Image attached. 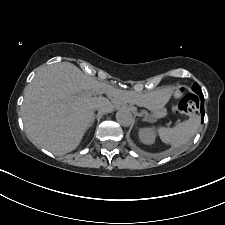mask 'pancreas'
<instances>
[{"label": "pancreas", "mask_w": 225, "mask_h": 225, "mask_svg": "<svg viewBox=\"0 0 225 225\" xmlns=\"http://www.w3.org/2000/svg\"><path fill=\"white\" fill-rule=\"evenodd\" d=\"M166 114V110L163 109V110H157L154 112V117H162Z\"/></svg>", "instance_id": "obj_1"}]
</instances>
